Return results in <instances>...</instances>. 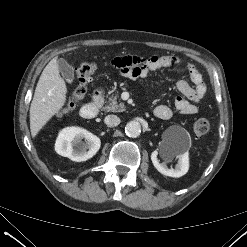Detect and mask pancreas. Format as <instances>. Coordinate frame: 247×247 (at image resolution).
<instances>
[{
  "label": "pancreas",
  "instance_id": "obj_1",
  "mask_svg": "<svg viewBox=\"0 0 247 247\" xmlns=\"http://www.w3.org/2000/svg\"><path fill=\"white\" fill-rule=\"evenodd\" d=\"M118 94H112L109 97V101L103 107L105 112H123L125 111V105L120 102Z\"/></svg>",
  "mask_w": 247,
  "mask_h": 247
}]
</instances>
